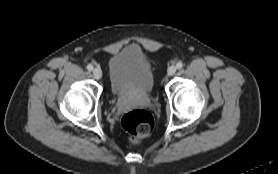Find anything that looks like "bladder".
I'll list each match as a JSON object with an SVG mask.
<instances>
[{
	"label": "bladder",
	"mask_w": 278,
	"mask_h": 174,
	"mask_svg": "<svg viewBox=\"0 0 278 174\" xmlns=\"http://www.w3.org/2000/svg\"><path fill=\"white\" fill-rule=\"evenodd\" d=\"M113 95L120 100L147 98L154 89V73L149 60L134 46L113 55L108 63Z\"/></svg>",
	"instance_id": "1"
}]
</instances>
